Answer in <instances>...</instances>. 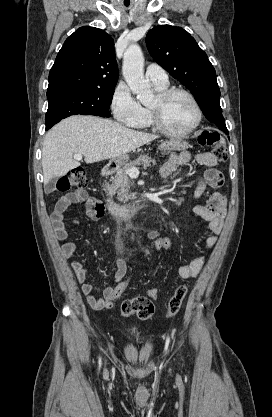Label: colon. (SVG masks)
Returning a JSON list of instances; mask_svg holds the SVG:
<instances>
[{"instance_id":"colon-1","label":"colon","mask_w":272,"mask_h":417,"mask_svg":"<svg viewBox=\"0 0 272 417\" xmlns=\"http://www.w3.org/2000/svg\"><path fill=\"white\" fill-rule=\"evenodd\" d=\"M198 142L202 146H208L212 149V154L218 161H224L227 158V147L223 137L215 131L205 130L199 137ZM87 184L86 172L83 168H75L68 174L62 177L58 183L57 188L60 191H67L71 188H82ZM172 247V240L169 237L158 236L152 239L151 248L155 252H164L170 250ZM131 271H129L125 278L114 288L112 298L108 302V307H112V300L118 298L125 291ZM188 287L185 284L178 286L170 297L167 307V316H175L187 295ZM159 294L158 288H151L148 291V296H139L122 303L120 312L124 317L136 315L142 320L149 319L154 313L153 301L157 299Z\"/></svg>"}]
</instances>
